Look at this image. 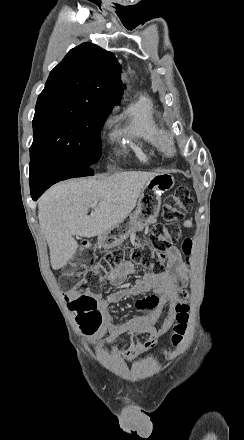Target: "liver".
Here are the masks:
<instances>
[{
    "label": "liver",
    "instance_id": "liver-1",
    "mask_svg": "<svg viewBox=\"0 0 244 440\" xmlns=\"http://www.w3.org/2000/svg\"><path fill=\"white\" fill-rule=\"evenodd\" d=\"M153 176L152 172H118L105 180H66L47 190L38 200V220L52 270H60L73 258L78 248L73 236L93 238L127 218ZM92 206L94 212L87 216Z\"/></svg>",
    "mask_w": 244,
    "mask_h": 440
}]
</instances>
